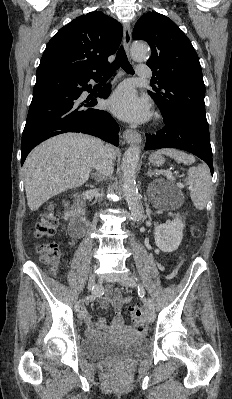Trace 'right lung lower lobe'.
<instances>
[{
	"instance_id": "98d812e1",
	"label": "right lung lower lobe",
	"mask_w": 232,
	"mask_h": 399,
	"mask_svg": "<svg viewBox=\"0 0 232 399\" xmlns=\"http://www.w3.org/2000/svg\"><path fill=\"white\" fill-rule=\"evenodd\" d=\"M103 73L37 76L22 134L21 164L36 145L65 132H82L119 145L117 122L108 112L92 108L97 97L108 98L111 86L101 88L95 97L82 96L91 92L89 80L97 82Z\"/></svg>"
}]
</instances>
